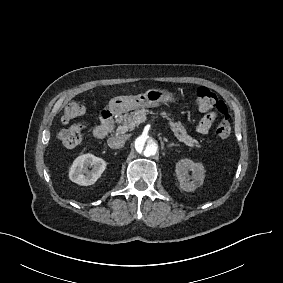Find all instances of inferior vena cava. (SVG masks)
<instances>
[{
    "mask_svg": "<svg viewBox=\"0 0 283 283\" xmlns=\"http://www.w3.org/2000/svg\"><path fill=\"white\" fill-rule=\"evenodd\" d=\"M125 143L124 138L117 136V137H112L108 139V145L112 149H119L123 147Z\"/></svg>",
    "mask_w": 283,
    "mask_h": 283,
    "instance_id": "obj_1",
    "label": "inferior vena cava"
}]
</instances>
